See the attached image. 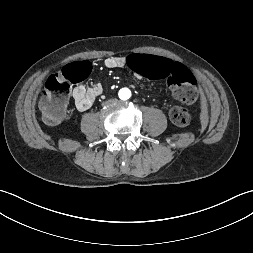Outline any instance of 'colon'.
I'll use <instances>...</instances> for the list:
<instances>
[{"label":"colon","instance_id":"colon-1","mask_svg":"<svg viewBox=\"0 0 253 253\" xmlns=\"http://www.w3.org/2000/svg\"><path fill=\"white\" fill-rule=\"evenodd\" d=\"M126 68L130 73L139 76L165 79L175 98L183 103H192L197 98L193 75L184 66L166 56L132 53L126 59ZM89 72L90 64L79 62L64 67L48 79L40 100L45 122L56 124L63 119L71 88L82 82ZM170 118L174 124L183 127L190 123L191 113L187 108L175 106L170 111Z\"/></svg>","mask_w":253,"mask_h":253}]
</instances>
